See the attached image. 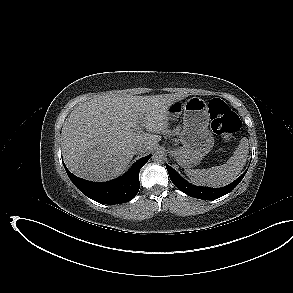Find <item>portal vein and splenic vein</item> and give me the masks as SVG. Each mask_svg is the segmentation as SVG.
Segmentation results:
<instances>
[{"label": "portal vein and splenic vein", "instance_id": "18ae733b", "mask_svg": "<svg viewBox=\"0 0 293 293\" xmlns=\"http://www.w3.org/2000/svg\"><path fill=\"white\" fill-rule=\"evenodd\" d=\"M142 130H143L142 125L137 127L138 132H142Z\"/></svg>", "mask_w": 293, "mask_h": 293}]
</instances>
